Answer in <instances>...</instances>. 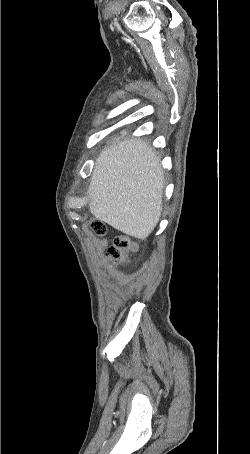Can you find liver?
Segmentation results:
<instances>
[{
    "instance_id": "obj_1",
    "label": "liver",
    "mask_w": 250,
    "mask_h": 454,
    "mask_svg": "<svg viewBox=\"0 0 250 454\" xmlns=\"http://www.w3.org/2000/svg\"><path fill=\"white\" fill-rule=\"evenodd\" d=\"M164 171L155 151L140 139L103 149L88 189L89 211L124 234L145 240L159 222Z\"/></svg>"
}]
</instances>
